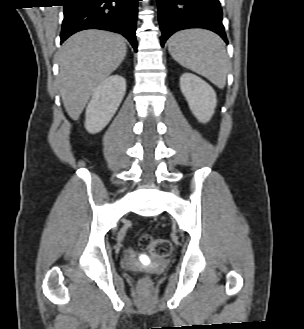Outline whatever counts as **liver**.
I'll return each instance as SVG.
<instances>
[{"mask_svg": "<svg viewBox=\"0 0 304 329\" xmlns=\"http://www.w3.org/2000/svg\"><path fill=\"white\" fill-rule=\"evenodd\" d=\"M127 47L121 35L85 30L72 35L59 53V88L66 112L77 120L95 89L122 63Z\"/></svg>", "mask_w": 304, "mask_h": 329, "instance_id": "1", "label": "liver"}]
</instances>
